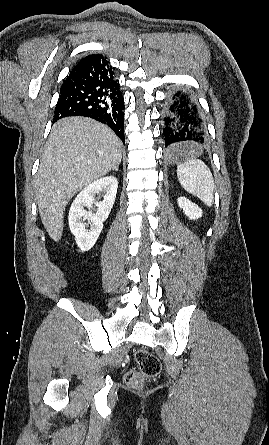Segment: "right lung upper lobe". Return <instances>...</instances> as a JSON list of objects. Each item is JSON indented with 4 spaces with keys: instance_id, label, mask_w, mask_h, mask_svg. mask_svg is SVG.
<instances>
[{
    "instance_id": "right-lung-upper-lobe-1",
    "label": "right lung upper lobe",
    "mask_w": 269,
    "mask_h": 445,
    "mask_svg": "<svg viewBox=\"0 0 269 445\" xmlns=\"http://www.w3.org/2000/svg\"><path fill=\"white\" fill-rule=\"evenodd\" d=\"M92 56H94V55H88V56L85 57L84 59L80 60V62L83 61V60H86V59H88V58H90V57H92Z\"/></svg>"
}]
</instances>
